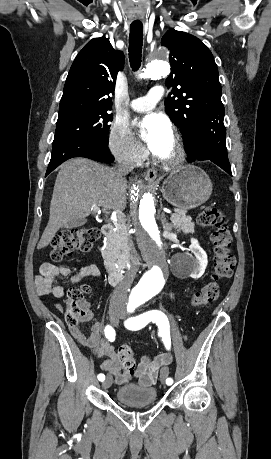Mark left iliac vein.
Segmentation results:
<instances>
[{
    "label": "left iliac vein",
    "instance_id": "obj_1",
    "mask_svg": "<svg viewBox=\"0 0 271 459\" xmlns=\"http://www.w3.org/2000/svg\"><path fill=\"white\" fill-rule=\"evenodd\" d=\"M127 317V315H125ZM169 370L167 367H162L161 372H160V379L162 383H165V379L168 377Z\"/></svg>",
    "mask_w": 271,
    "mask_h": 459
}]
</instances>
